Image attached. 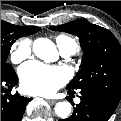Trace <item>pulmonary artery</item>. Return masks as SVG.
I'll return each instance as SVG.
<instances>
[{
    "instance_id": "obj_1",
    "label": "pulmonary artery",
    "mask_w": 121,
    "mask_h": 121,
    "mask_svg": "<svg viewBox=\"0 0 121 121\" xmlns=\"http://www.w3.org/2000/svg\"><path fill=\"white\" fill-rule=\"evenodd\" d=\"M76 51H77L76 46H67V47H63L60 49V52H61L62 56H64V57L73 55Z\"/></svg>"
}]
</instances>
